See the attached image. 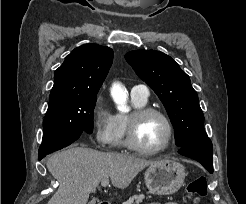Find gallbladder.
Returning <instances> with one entry per match:
<instances>
[{"label":"gallbladder","mask_w":246,"mask_h":204,"mask_svg":"<svg viewBox=\"0 0 246 204\" xmlns=\"http://www.w3.org/2000/svg\"><path fill=\"white\" fill-rule=\"evenodd\" d=\"M88 204H94V203L91 201V202H89Z\"/></svg>","instance_id":"bac80fb5"}]
</instances>
